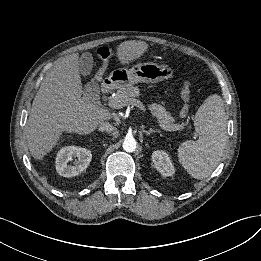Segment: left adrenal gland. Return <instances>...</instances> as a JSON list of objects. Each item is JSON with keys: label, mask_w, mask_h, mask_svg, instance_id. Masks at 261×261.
<instances>
[{"label": "left adrenal gland", "mask_w": 261, "mask_h": 261, "mask_svg": "<svg viewBox=\"0 0 261 261\" xmlns=\"http://www.w3.org/2000/svg\"><path fill=\"white\" fill-rule=\"evenodd\" d=\"M156 132L160 133L161 131L158 130V129H152V128H150L148 131H145V134H146V135H150V134L156 133Z\"/></svg>", "instance_id": "1"}]
</instances>
